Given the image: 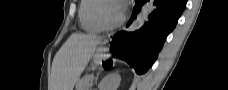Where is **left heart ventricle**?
I'll return each mask as SVG.
<instances>
[{
	"instance_id": "1",
	"label": "left heart ventricle",
	"mask_w": 228,
	"mask_h": 90,
	"mask_svg": "<svg viewBox=\"0 0 228 90\" xmlns=\"http://www.w3.org/2000/svg\"><path fill=\"white\" fill-rule=\"evenodd\" d=\"M121 15V10L117 4L106 3L101 9V16L103 20L108 23H114Z\"/></svg>"
}]
</instances>
